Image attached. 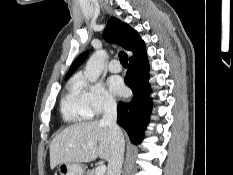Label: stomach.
Here are the masks:
<instances>
[{
  "label": "stomach",
  "instance_id": "stomach-1",
  "mask_svg": "<svg viewBox=\"0 0 233 175\" xmlns=\"http://www.w3.org/2000/svg\"><path fill=\"white\" fill-rule=\"evenodd\" d=\"M58 171L60 175H84V168L80 163H61Z\"/></svg>",
  "mask_w": 233,
  "mask_h": 175
}]
</instances>
